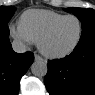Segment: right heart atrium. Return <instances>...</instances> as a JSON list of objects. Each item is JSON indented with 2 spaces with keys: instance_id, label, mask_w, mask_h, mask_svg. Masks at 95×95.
<instances>
[{
  "instance_id": "d8ad5b80",
  "label": "right heart atrium",
  "mask_w": 95,
  "mask_h": 95,
  "mask_svg": "<svg viewBox=\"0 0 95 95\" xmlns=\"http://www.w3.org/2000/svg\"><path fill=\"white\" fill-rule=\"evenodd\" d=\"M12 37L21 45L28 46L33 43L20 24H11L9 26Z\"/></svg>"
}]
</instances>
